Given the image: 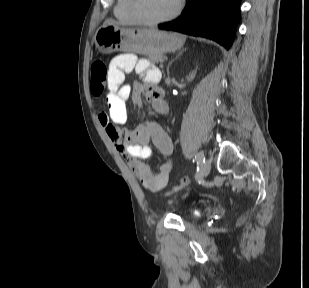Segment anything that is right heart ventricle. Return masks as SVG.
Returning <instances> with one entry per match:
<instances>
[{
  "mask_svg": "<svg viewBox=\"0 0 309 288\" xmlns=\"http://www.w3.org/2000/svg\"><path fill=\"white\" fill-rule=\"evenodd\" d=\"M115 17L123 24L137 23L128 10V0H117L114 6Z\"/></svg>",
  "mask_w": 309,
  "mask_h": 288,
  "instance_id": "right-heart-ventricle-1",
  "label": "right heart ventricle"
}]
</instances>
